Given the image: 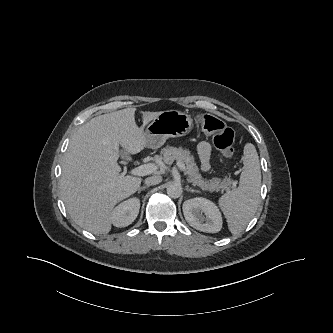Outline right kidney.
<instances>
[{
    "label": "right kidney",
    "instance_id": "obj_1",
    "mask_svg": "<svg viewBox=\"0 0 333 333\" xmlns=\"http://www.w3.org/2000/svg\"><path fill=\"white\" fill-rule=\"evenodd\" d=\"M140 200L130 198L120 203L112 212L111 220L116 227H126L130 225L138 216Z\"/></svg>",
    "mask_w": 333,
    "mask_h": 333
}]
</instances>
